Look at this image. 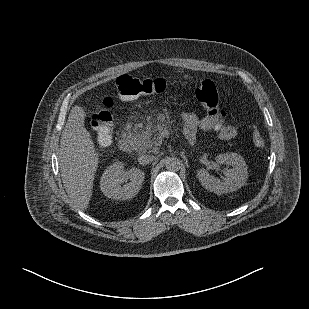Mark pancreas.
I'll use <instances>...</instances> for the list:
<instances>
[{
    "label": "pancreas",
    "instance_id": "obj_1",
    "mask_svg": "<svg viewBox=\"0 0 309 309\" xmlns=\"http://www.w3.org/2000/svg\"><path fill=\"white\" fill-rule=\"evenodd\" d=\"M136 145L139 151L157 152L162 144L163 137L154 130H144L136 135Z\"/></svg>",
    "mask_w": 309,
    "mask_h": 309
}]
</instances>
